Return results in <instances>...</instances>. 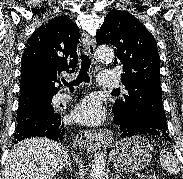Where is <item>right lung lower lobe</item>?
Wrapping results in <instances>:
<instances>
[{"label":"right lung lower lobe","mask_w":183,"mask_h":179,"mask_svg":"<svg viewBox=\"0 0 183 179\" xmlns=\"http://www.w3.org/2000/svg\"><path fill=\"white\" fill-rule=\"evenodd\" d=\"M64 135L65 128L60 114L35 108L28 113L26 118L17 122L12 145L30 137H47L61 142Z\"/></svg>","instance_id":"1"}]
</instances>
